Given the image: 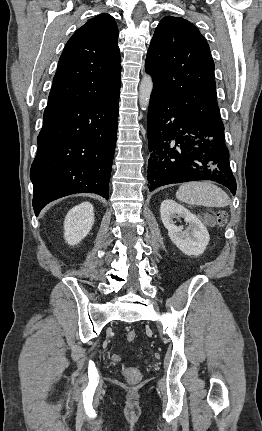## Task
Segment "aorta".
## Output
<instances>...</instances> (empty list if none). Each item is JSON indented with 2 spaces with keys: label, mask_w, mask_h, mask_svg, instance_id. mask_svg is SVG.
I'll list each match as a JSON object with an SVG mask.
<instances>
[{
  "label": "aorta",
  "mask_w": 262,
  "mask_h": 431,
  "mask_svg": "<svg viewBox=\"0 0 262 431\" xmlns=\"http://www.w3.org/2000/svg\"><path fill=\"white\" fill-rule=\"evenodd\" d=\"M153 90V80L150 75H145L139 86V104L143 110L149 106L151 93Z\"/></svg>",
  "instance_id": "aorta-1"
}]
</instances>
